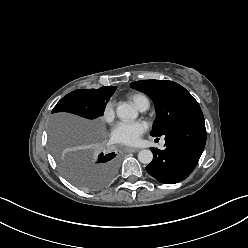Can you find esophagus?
Here are the masks:
<instances>
[{
  "label": "esophagus",
  "instance_id": "obj_1",
  "mask_svg": "<svg viewBox=\"0 0 248 248\" xmlns=\"http://www.w3.org/2000/svg\"><path fill=\"white\" fill-rule=\"evenodd\" d=\"M125 151L126 152H138L139 149L138 148H129V147H127V148H125Z\"/></svg>",
  "mask_w": 248,
  "mask_h": 248
}]
</instances>
